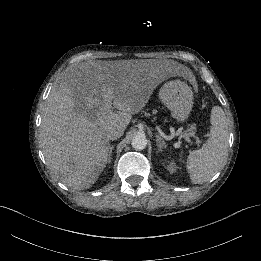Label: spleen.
Wrapping results in <instances>:
<instances>
[{
	"label": "spleen",
	"instance_id": "1",
	"mask_svg": "<svg viewBox=\"0 0 261 261\" xmlns=\"http://www.w3.org/2000/svg\"><path fill=\"white\" fill-rule=\"evenodd\" d=\"M210 137L201 149L189 154L186 161L192 184H203L220 171L228 153V122L221 107L213 106L210 115ZM182 163V160H179Z\"/></svg>",
	"mask_w": 261,
	"mask_h": 261
}]
</instances>
